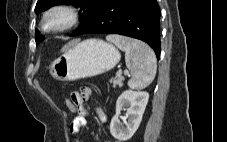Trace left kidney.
<instances>
[{"mask_svg":"<svg viewBox=\"0 0 227 142\" xmlns=\"http://www.w3.org/2000/svg\"><path fill=\"white\" fill-rule=\"evenodd\" d=\"M148 99V92L133 90H126L118 97L116 114L110 123V133L114 138L124 142L134 135L141 123ZM124 107H127V114L126 121L122 124L119 115Z\"/></svg>","mask_w":227,"mask_h":142,"instance_id":"left-kidney-1","label":"left kidney"}]
</instances>
